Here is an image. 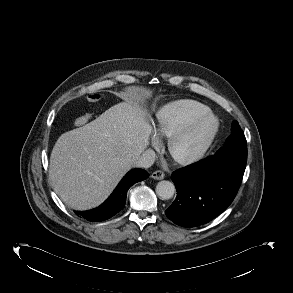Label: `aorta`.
Here are the masks:
<instances>
[{
  "label": "aorta",
  "mask_w": 293,
  "mask_h": 293,
  "mask_svg": "<svg viewBox=\"0 0 293 293\" xmlns=\"http://www.w3.org/2000/svg\"><path fill=\"white\" fill-rule=\"evenodd\" d=\"M175 193V186L172 182L163 180L156 185V194L162 200L171 199Z\"/></svg>",
  "instance_id": "1"
}]
</instances>
